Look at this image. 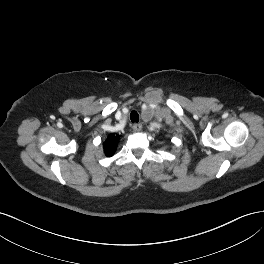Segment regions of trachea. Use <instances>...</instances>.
Returning a JSON list of instances; mask_svg holds the SVG:
<instances>
[{
	"label": "trachea",
	"instance_id": "3493384b",
	"mask_svg": "<svg viewBox=\"0 0 264 264\" xmlns=\"http://www.w3.org/2000/svg\"><path fill=\"white\" fill-rule=\"evenodd\" d=\"M130 119L132 123H138L139 122V115L136 111H132L130 114Z\"/></svg>",
	"mask_w": 264,
	"mask_h": 264
}]
</instances>
